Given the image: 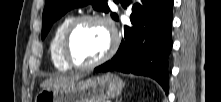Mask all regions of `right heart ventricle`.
<instances>
[{
	"label": "right heart ventricle",
	"mask_w": 221,
	"mask_h": 102,
	"mask_svg": "<svg viewBox=\"0 0 221 102\" xmlns=\"http://www.w3.org/2000/svg\"><path fill=\"white\" fill-rule=\"evenodd\" d=\"M73 18V14L65 15L54 29L49 42V53L51 61L54 67L60 71H67L70 69V67L64 62L61 56V41L66 27Z\"/></svg>",
	"instance_id": "e07e8e85"
}]
</instances>
